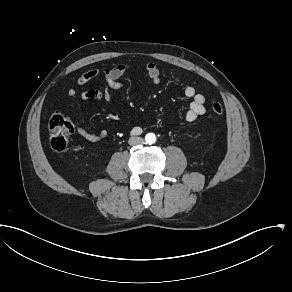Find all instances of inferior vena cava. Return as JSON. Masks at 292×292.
Returning <instances> with one entry per match:
<instances>
[{"label": "inferior vena cava", "instance_id": "602c4592", "mask_svg": "<svg viewBox=\"0 0 292 292\" xmlns=\"http://www.w3.org/2000/svg\"><path fill=\"white\" fill-rule=\"evenodd\" d=\"M128 143L131 146L142 145L144 143V140L141 137H130Z\"/></svg>", "mask_w": 292, "mask_h": 292}]
</instances>
